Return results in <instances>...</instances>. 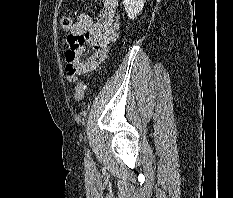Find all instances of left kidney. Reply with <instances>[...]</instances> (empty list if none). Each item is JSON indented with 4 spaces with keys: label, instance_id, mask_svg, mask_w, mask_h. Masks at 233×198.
I'll list each match as a JSON object with an SVG mask.
<instances>
[{
    "label": "left kidney",
    "instance_id": "obj_1",
    "mask_svg": "<svg viewBox=\"0 0 233 198\" xmlns=\"http://www.w3.org/2000/svg\"><path fill=\"white\" fill-rule=\"evenodd\" d=\"M146 0H123L125 11L130 19H134L142 11Z\"/></svg>",
    "mask_w": 233,
    "mask_h": 198
}]
</instances>
